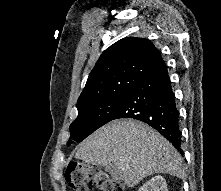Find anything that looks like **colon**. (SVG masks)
<instances>
[{
  "label": "colon",
  "mask_w": 221,
  "mask_h": 191,
  "mask_svg": "<svg viewBox=\"0 0 221 191\" xmlns=\"http://www.w3.org/2000/svg\"><path fill=\"white\" fill-rule=\"evenodd\" d=\"M65 179L72 191H89V184L98 191H124L120 181L85 163L71 162L65 170Z\"/></svg>",
  "instance_id": "colon-1"
}]
</instances>
